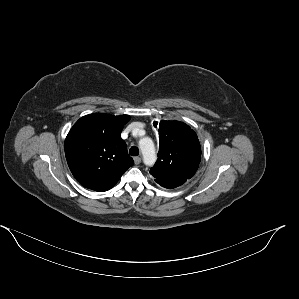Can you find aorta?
Segmentation results:
<instances>
[{"mask_svg": "<svg viewBox=\"0 0 299 299\" xmlns=\"http://www.w3.org/2000/svg\"><path fill=\"white\" fill-rule=\"evenodd\" d=\"M139 147L143 155L144 163L148 166H152L157 159L152 139L148 137L140 139Z\"/></svg>", "mask_w": 299, "mask_h": 299, "instance_id": "762f6f07", "label": "aorta"}]
</instances>
